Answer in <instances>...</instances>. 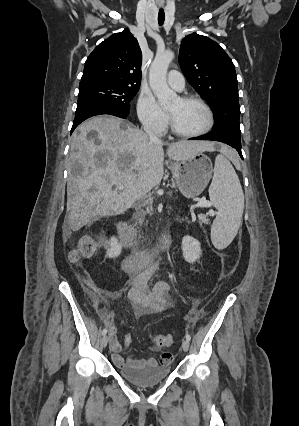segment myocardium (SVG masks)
Wrapping results in <instances>:
<instances>
[{
    "label": "myocardium",
    "mask_w": 299,
    "mask_h": 426,
    "mask_svg": "<svg viewBox=\"0 0 299 426\" xmlns=\"http://www.w3.org/2000/svg\"><path fill=\"white\" fill-rule=\"evenodd\" d=\"M179 99L183 102H196V103H198L206 112L207 123H206L205 127L203 129L199 130V131L184 132V131H181L180 129L177 128V126H176V124H175V122L172 118V115L169 113V123H170L171 131L175 135H177L179 137H183V138H195V137H199V136H202V135L208 133L214 125V114L212 112L211 107L208 105V103L204 99H202L201 97L196 96V95H182V96L179 97Z\"/></svg>",
    "instance_id": "myocardium-1"
}]
</instances>
